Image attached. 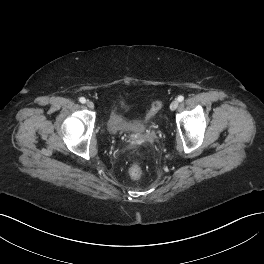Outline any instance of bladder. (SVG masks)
I'll return each instance as SVG.
<instances>
[{"label": "bladder", "instance_id": "obj_1", "mask_svg": "<svg viewBox=\"0 0 264 264\" xmlns=\"http://www.w3.org/2000/svg\"><path fill=\"white\" fill-rule=\"evenodd\" d=\"M107 128L111 133H125L133 131L136 126L126 119L116 108H113L107 118Z\"/></svg>", "mask_w": 264, "mask_h": 264}]
</instances>
